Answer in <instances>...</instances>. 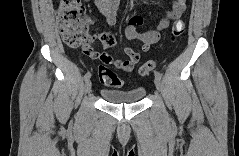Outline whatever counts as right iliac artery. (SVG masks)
<instances>
[{"label":"right iliac artery","mask_w":239,"mask_h":156,"mask_svg":"<svg viewBox=\"0 0 239 156\" xmlns=\"http://www.w3.org/2000/svg\"><path fill=\"white\" fill-rule=\"evenodd\" d=\"M91 77V73L90 72H87L85 75H84V80L87 81L89 80Z\"/></svg>","instance_id":"obj_1"}]
</instances>
